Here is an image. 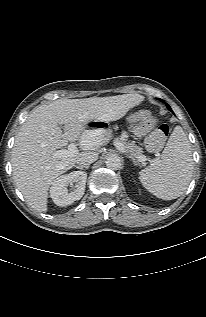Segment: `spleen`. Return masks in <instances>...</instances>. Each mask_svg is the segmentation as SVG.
Masks as SVG:
<instances>
[{
    "label": "spleen",
    "instance_id": "obj_1",
    "mask_svg": "<svg viewBox=\"0 0 206 317\" xmlns=\"http://www.w3.org/2000/svg\"><path fill=\"white\" fill-rule=\"evenodd\" d=\"M190 144L180 126H176L164 148L161 159L139 173L142 185L163 200L181 196L190 183L193 172Z\"/></svg>",
    "mask_w": 206,
    "mask_h": 317
}]
</instances>
